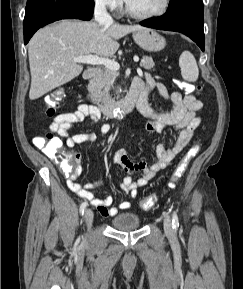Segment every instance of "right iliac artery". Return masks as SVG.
I'll return each instance as SVG.
<instances>
[{
    "mask_svg": "<svg viewBox=\"0 0 243 289\" xmlns=\"http://www.w3.org/2000/svg\"><path fill=\"white\" fill-rule=\"evenodd\" d=\"M87 205H88L87 202H83V203L81 204V206H80V214L83 215V213H84V211H85Z\"/></svg>",
    "mask_w": 243,
    "mask_h": 289,
    "instance_id": "obj_1",
    "label": "right iliac artery"
}]
</instances>
